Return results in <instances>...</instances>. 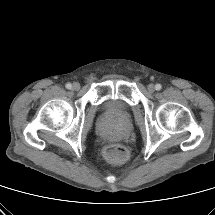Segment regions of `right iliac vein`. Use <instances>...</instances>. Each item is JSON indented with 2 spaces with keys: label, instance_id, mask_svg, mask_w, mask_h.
I'll return each instance as SVG.
<instances>
[{
  "label": "right iliac vein",
  "instance_id": "1",
  "mask_svg": "<svg viewBox=\"0 0 215 215\" xmlns=\"http://www.w3.org/2000/svg\"><path fill=\"white\" fill-rule=\"evenodd\" d=\"M72 89L73 90H79L80 89V84L79 83H77V82H75L74 84H73V86H72Z\"/></svg>",
  "mask_w": 215,
  "mask_h": 215
}]
</instances>
